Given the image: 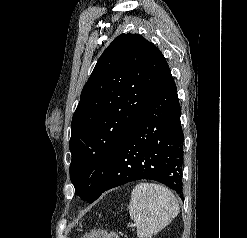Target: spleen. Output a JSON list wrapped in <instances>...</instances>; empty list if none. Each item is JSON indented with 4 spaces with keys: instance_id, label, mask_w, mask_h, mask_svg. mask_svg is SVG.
Returning <instances> with one entry per match:
<instances>
[{
    "instance_id": "obj_1",
    "label": "spleen",
    "mask_w": 247,
    "mask_h": 238,
    "mask_svg": "<svg viewBox=\"0 0 247 238\" xmlns=\"http://www.w3.org/2000/svg\"><path fill=\"white\" fill-rule=\"evenodd\" d=\"M179 213L175 195L156 183H139L131 193L129 214L139 238H151L166 227Z\"/></svg>"
}]
</instances>
